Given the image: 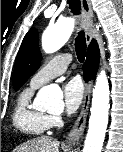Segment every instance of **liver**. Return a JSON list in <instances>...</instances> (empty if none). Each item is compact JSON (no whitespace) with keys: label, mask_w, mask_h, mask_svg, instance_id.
Returning a JSON list of instances; mask_svg holds the SVG:
<instances>
[{"label":"liver","mask_w":123,"mask_h":152,"mask_svg":"<svg viewBox=\"0 0 123 152\" xmlns=\"http://www.w3.org/2000/svg\"><path fill=\"white\" fill-rule=\"evenodd\" d=\"M14 152H59V142L51 137H38L22 144Z\"/></svg>","instance_id":"obj_1"}]
</instances>
